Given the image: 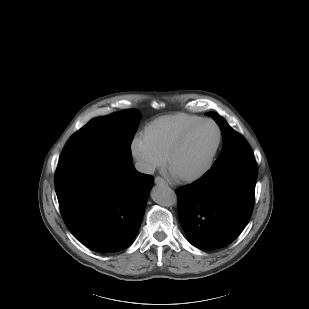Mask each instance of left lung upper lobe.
Segmentation results:
<instances>
[{
  "mask_svg": "<svg viewBox=\"0 0 309 309\" xmlns=\"http://www.w3.org/2000/svg\"><path fill=\"white\" fill-rule=\"evenodd\" d=\"M207 115L217 122L223 137L222 152L213 164L212 169L236 156L252 152L243 136L234 131L219 114L210 112Z\"/></svg>",
  "mask_w": 309,
  "mask_h": 309,
  "instance_id": "obj_1",
  "label": "left lung upper lobe"
}]
</instances>
